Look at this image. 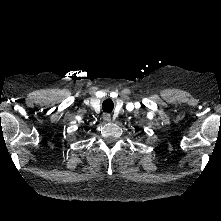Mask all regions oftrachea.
I'll return each mask as SVG.
<instances>
[{
    "mask_svg": "<svg viewBox=\"0 0 221 221\" xmlns=\"http://www.w3.org/2000/svg\"><path fill=\"white\" fill-rule=\"evenodd\" d=\"M113 107H114L113 102L110 100H106L102 105L103 111L108 113H110L113 110Z\"/></svg>",
    "mask_w": 221,
    "mask_h": 221,
    "instance_id": "3493384b",
    "label": "trachea"
}]
</instances>
